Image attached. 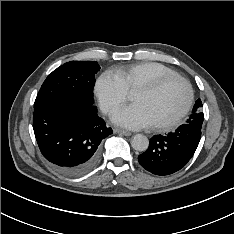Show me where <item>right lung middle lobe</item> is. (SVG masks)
Masks as SVG:
<instances>
[{"mask_svg":"<svg viewBox=\"0 0 234 234\" xmlns=\"http://www.w3.org/2000/svg\"><path fill=\"white\" fill-rule=\"evenodd\" d=\"M99 69L95 61H71L61 65L42 84L34 109L58 99H74L92 105L95 74Z\"/></svg>","mask_w":234,"mask_h":234,"instance_id":"dd1d6c3e","label":"right lung middle lobe"}]
</instances>
